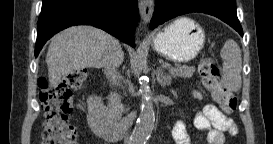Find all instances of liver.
Segmentation results:
<instances>
[{
	"label": "liver",
	"mask_w": 273,
	"mask_h": 144,
	"mask_svg": "<svg viewBox=\"0 0 273 144\" xmlns=\"http://www.w3.org/2000/svg\"><path fill=\"white\" fill-rule=\"evenodd\" d=\"M114 38L92 26H73L55 35L46 55L51 86L76 70L103 67L102 56ZM124 54L118 66L123 62Z\"/></svg>",
	"instance_id": "6515ba94"
}]
</instances>
